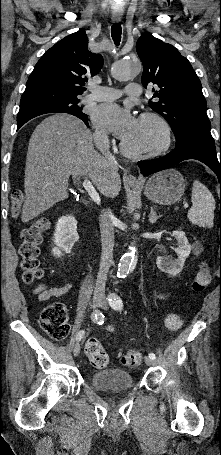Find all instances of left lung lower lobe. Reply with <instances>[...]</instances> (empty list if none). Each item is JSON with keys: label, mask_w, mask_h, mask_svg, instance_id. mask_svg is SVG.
Listing matches in <instances>:
<instances>
[{"label": "left lung lower lobe", "mask_w": 221, "mask_h": 455, "mask_svg": "<svg viewBox=\"0 0 221 455\" xmlns=\"http://www.w3.org/2000/svg\"><path fill=\"white\" fill-rule=\"evenodd\" d=\"M187 159L205 163L216 173L221 186V151L219 162L215 141L211 135L189 134L176 143L175 149L167 155L154 160L139 161L138 166L145 176H149Z\"/></svg>", "instance_id": "1"}]
</instances>
